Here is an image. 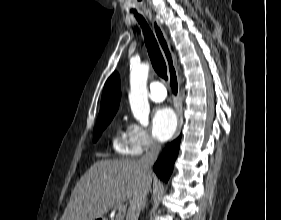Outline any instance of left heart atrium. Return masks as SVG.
<instances>
[{"mask_svg": "<svg viewBox=\"0 0 281 220\" xmlns=\"http://www.w3.org/2000/svg\"><path fill=\"white\" fill-rule=\"evenodd\" d=\"M177 119L169 107H159L152 118V133L159 141L168 140L175 132Z\"/></svg>", "mask_w": 281, "mask_h": 220, "instance_id": "left-heart-atrium-1", "label": "left heart atrium"}]
</instances>
